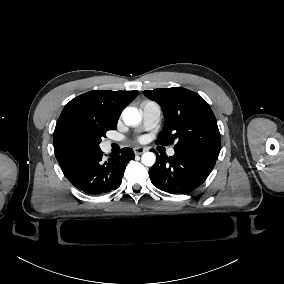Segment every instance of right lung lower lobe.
<instances>
[{
    "mask_svg": "<svg viewBox=\"0 0 284 284\" xmlns=\"http://www.w3.org/2000/svg\"><path fill=\"white\" fill-rule=\"evenodd\" d=\"M134 159L133 150L123 148L104 160L103 152L76 158L61 166L67 179L79 190L89 195H100L117 189L122 182L126 165Z\"/></svg>",
    "mask_w": 284,
    "mask_h": 284,
    "instance_id": "1",
    "label": "right lung lower lobe"
}]
</instances>
